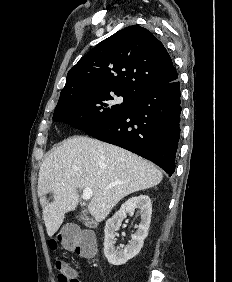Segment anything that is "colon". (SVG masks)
Wrapping results in <instances>:
<instances>
[{"label":"colon","mask_w":232,"mask_h":282,"mask_svg":"<svg viewBox=\"0 0 232 282\" xmlns=\"http://www.w3.org/2000/svg\"><path fill=\"white\" fill-rule=\"evenodd\" d=\"M50 246L52 249H57L61 246L85 258H91L95 252L94 241L91 235L72 229L66 230L53 238ZM55 268L58 272V282H79L78 278L72 274V268L66 262L57 259L55 261Z\"/></svg>","instance_id":"obj_1"}]
</instances>
